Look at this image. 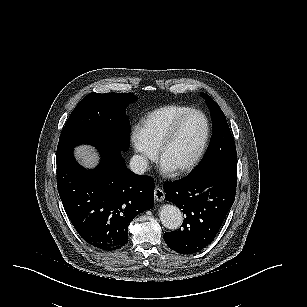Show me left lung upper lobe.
Returning a JSON list of instances; mask_svg holds the SVG:
<instances>
[{"mask_svg":"<svg viewBox=\"0 0 307 307\" xmlns=\"http://www.w3.org/2000/svg\"><path fill=\"white\" fill-rule=\"evenodd\" d=\"M201 95L210 108L213 135L204 158L190 175L214 169L237 174L236 147L225 115L209 95L205 93Z\"/></svg>","mask_w":307,"mask_h":307,"instance_id":"5c2ea615","label":"left lung upper lobe"}]
</instances>
